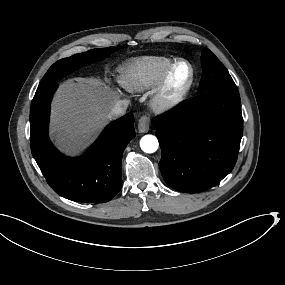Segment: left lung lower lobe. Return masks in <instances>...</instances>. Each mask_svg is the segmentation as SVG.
Returning <instances> with one entry per match:
<instances>
[{
	"instance_id": "1",
	"label": "left lung lower lobe",
	"mask_w": 285,
	"mask_h": 285,
	"mask_svg": "<svg viewBox=\"0 0 285 285\" xmlns=\"http://www.w3.org/2000/svg\"><path fill=\"white\" fill-rule=\"evenodd\" d=\"M165 182L184 193L217 185L234 168L243 133L237 87L210 89L153 121Z\"/></svg>"
}]
</instances>
